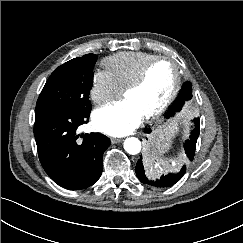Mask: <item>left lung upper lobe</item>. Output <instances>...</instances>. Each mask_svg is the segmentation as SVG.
Listing matches in <instances>:
<instances>
[{"mask_svg": "<svg viewBox=\"0 0 243 243\" xmlns=\"http://www.w3.org/2000/svg\"><path fill=\"white\" fill-rule=\"evenodd\" d=\"M192 97V88H191V83L187 82L184 86V89L181 92L180 97L178 100H188ZM177 100V101H178ZM173 111H169L168 115H172Z\"/></svg>", "mask_w": 243, "mask_h": 243, "instance_id": "1", "label": "left lung upper lobe"}]
</instances>
